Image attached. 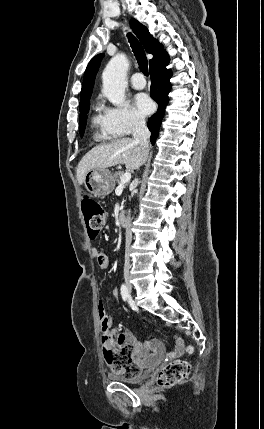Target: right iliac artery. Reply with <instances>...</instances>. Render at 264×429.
<instances>
[{
  "instance_id": "obj_1",
  "label": "right iliac artery",
  "mask_w": 264,
  "mask_h": 429,
  "mask_svg": "<svg viewBox=\"0 0 264 429\" xmlns=\"http://www.w3.org/2000/svg\"><path fill=\"white\" fill-rule=\"evenodd\" d=\"M120 291H121V296H122L123 300L127 301L130 297V294H129V291L127 290V287L125 284H122Z\"/></svg>"
}]
</instances>
